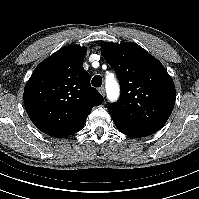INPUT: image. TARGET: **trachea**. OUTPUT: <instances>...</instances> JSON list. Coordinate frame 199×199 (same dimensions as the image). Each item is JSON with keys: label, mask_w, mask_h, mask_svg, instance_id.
Instances as JSON below:
<instances>
[{"label": "trachea", "mask_w": 199, "mask_h": 199, "mask_svg": "<svg viewBox=\"0 0 199 199\" xmlns=\"http://www.w3.org/2000/svg\"><path fill=\"white\" fill-rule=\"evenodd\" d=\"M92 85L94 87H101L102 85V77L100 75H95L93 78H92Z\"/></svg>", "instance_id": "1"}]
</instances>
